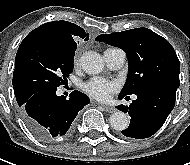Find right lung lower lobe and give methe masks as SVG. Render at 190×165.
<instances>
[{
  "label": "right lung lower lobe",
  "mask_w": 190,
  "mask_h": 165,
  "mask_svg": "<svg viewBox=\"0 0 190 165\" xmlns=\"http://www.w3.org/2000/svg\"><path fill=\"white\" fill-rule=\"evenodd\" d=\"M57 89L43 90L19 102L20 115L40 140L51 142L69 136L74 120L90 99L79 91H73L70 98L57 96Z\"/></svg>",
  "instance_id": "1"
}]
</instances>
